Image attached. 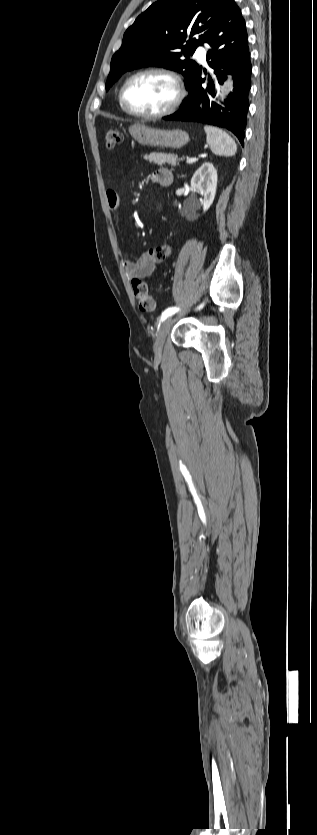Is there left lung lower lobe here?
Wrapping results in <instances>:
<instances>
[{
  "label": "left lung lower lobe",
  "mask_w": 317,
  "mask_h": 835,
  "mask_svg": "<svg viewBox=\"0 0 317 835\" xmlns=\"http://www.w3.org/2000/svg\"><path fill=\"white\" fill-rule=\"evenodd\" d=\"M247 39L241 11L235 1L230 0L219 27L207 41L210 45L207 61L214 69L215 76H209L208 83L203 87L205 79L201 77L202 67H198L186 85L188 96L181 108L164 119L195 121L223 127L232 131L243 145L252 72ZM226 74L233 75L234 90L224 101V106H219L212 102V99L217 93V84L224 82Z\"/></svg>",
  "instance_id": "1"
}]
</instances>
